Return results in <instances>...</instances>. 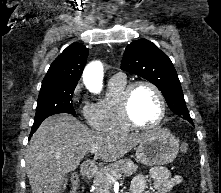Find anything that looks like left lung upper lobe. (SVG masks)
Returning <instances> with one entry per match:
<instances>
[{
	"instance_id": "5c2ea615",
	"label": "left lung upper lobe",
	"mask_w": 221,
	"mask_h": 193,
	"mask_svg": "<svg viewBox=\"0 0 221 193\" xmlns=\"http://www.w3.org/2000/svg\"><path fill=\"white\" fill-rule=\"evenodd\" d=\"M121 69L157 86L171 111L192 123L177 72L169 57L154 43L139 39L129 44L123 55Z\"/></svg>"
}]
</instances>
